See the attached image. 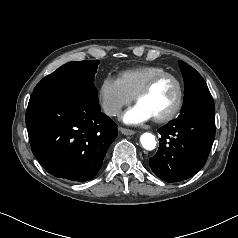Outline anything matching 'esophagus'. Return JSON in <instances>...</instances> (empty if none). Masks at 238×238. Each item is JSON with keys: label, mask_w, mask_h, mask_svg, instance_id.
Returning <instances> with one entry per match:
<instances>
[{"label": "esophagus", "mask_w": 238, "mask_h": 238, "mask_svg": "<svg viewBox=\"0 0 238 238\" xmlns=\"http://www.w3.org/2000/svg\"><path fill=\"white\" fill-rule=\"evenodd\" d=\"M119 130L124 135H133L135 133L134 130L123 128V127H120Z\"/></svg>", "instance_id": "34e87169"}]
</instances>
